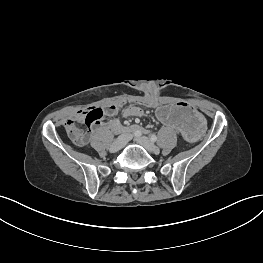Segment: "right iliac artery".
Instances as JSON below:
<instances>
[{
    "label": "right iliac artery",
    "mask_w": 263,
    "mask_h": 263,
    "mask_svg": "<svg viewBox=\"0 0 263 263\" xmlns=\"http://www.w3.org/2000/svg\"><path fill=\"white\" fill-rule=\"evenodd\" d=\"M132 132H133V135H135V136H141V134H142L140 130H134Z\"/></svg>",
    "instance_id": "right-iliac-artery-1"
}]
</instances>
